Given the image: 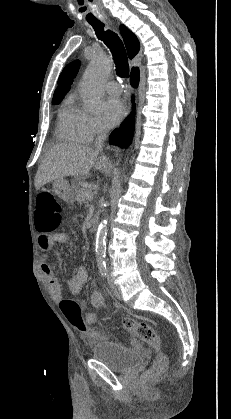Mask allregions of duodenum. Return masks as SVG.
<instances>
[{"mask_svg":"<svg viewBox=\"0 0 231 419\" xmlns=\"http://www.w3.org/2000/svg\"><path fill=\"white\" fill-rule=\"evenodd\" d=\"M99 216L97 214L93 215L90 219V224H91V228L93 231H97L98 226H99Z\"/></svg>","mask_w":231,"mask_h":419,"instance_id":"1","label":"duodenum"}]
</instances>
